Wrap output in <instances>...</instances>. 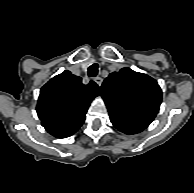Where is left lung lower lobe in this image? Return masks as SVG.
<instances>
[{"mask_svg":"<svg viewBox=\"0 0 194 193\" xmlns=\"http://www.w3.org/2000/svg\"><path fill=\"white\" fill-rule=\"evenodd\" d=\"M112 124L121 132L126 134H136L143 131L145 128L118 118L110 117Z\"/></svg>","mask_w":194,"mask_h":193,"instance_id":"left-lung-lower-lobe-1","label":"left lung lower lobe"}]
</instances>
